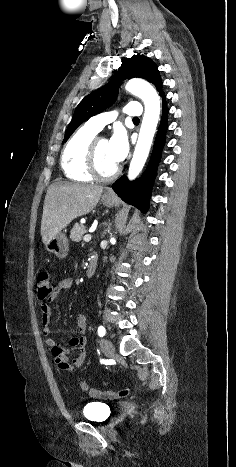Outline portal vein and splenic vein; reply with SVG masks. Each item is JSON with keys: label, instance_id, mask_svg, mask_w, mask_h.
I'll return each instance as SVG.
<instances>
[{"label": "portal vein and splenic vein", "instance_id": "portal-vein-and-splenic-vein-1", "mask_svg": "<svg viewBox=\"0 0 236 467\" xmlns=\"http://www.w3.org/2000/svg\"><path fill=\"white\" fill-rule=\"evenodd\" d=\"M92 231H94V230H90V232H92ZM83 240H84L85 242L90 241V240H91V235H90V234L85 235L84 238H83Z\"/></svg>", "mask_w": 236, "mask_h": 467}]
</instances>
